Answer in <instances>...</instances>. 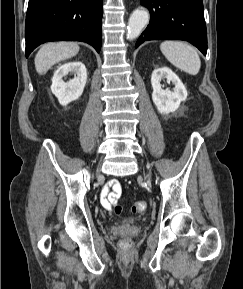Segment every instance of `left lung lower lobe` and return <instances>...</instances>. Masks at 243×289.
<instances>
[{
    "label": "left lung lower lobe",
    "mask_w": 243,
    "mask_h": 289,
    "mask_svg": "<svg viewBox=\"0 0 243 289\" xmlns=\"http://www.w3.org/2000/svg\"><path fill=\"white\" fill-rule=\"evenodd\" d=\"M150 11V23L136 48L146 40H185L204 55L207 31L202 0H141Z\"/></svg>",
    "instance_id": "1"
}]
</instances>
